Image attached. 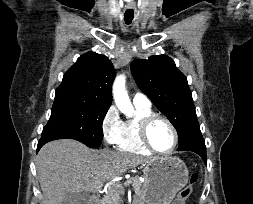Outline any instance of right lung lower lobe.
Wrapping results in <instances>:
<instances>
[{"label":"right lung lower lobe","instance_id":"right-lung-lower-lobe-1","mask_svg":"<svg viewBox=\"0 0 253 204\" xmlns=\"http://www.w3.org/2000/svg\"><path fill=\"white\" fill-rule=\"evenodd\" d=\"M52 140H56L55 138H52V137H47V138H44V137H41V139L39 140L38 142V146H37V151H39V149L47 142L49 141H52Z\"/></svg>","mask_w":253,"mask_h":204}]
</instances>
